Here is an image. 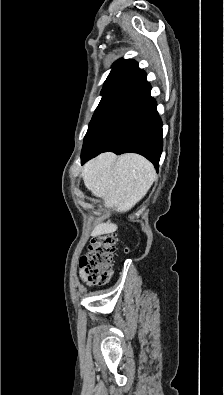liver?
<instances>
[{
	"instance_id": "liver-1",
	"label": "liver",
	"mask_w": 224,
	"mask_h": 395,
	"mask_svg": "<svg viewBox=\"0 0 224 395\" xmlns=\"http://www.w3.org/2000/svg\"><path fill=\"white\" fill-rule=\"evenodd\" d=\"M84 184L106 208L123 213L133 208L148 192L156 179L152 163L141 155L127 153L117 157L102 153L87 162L82 170ZM111 222L100 223L92 236L109 234L117 230Z\"/></svg>"
}]
</instances>
